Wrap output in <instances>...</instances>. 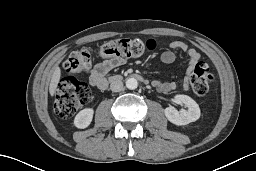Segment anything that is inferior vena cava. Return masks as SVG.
<instances>
[{
    "label": "inferior vena cava",
    "instance_id": "602c4592",
    "mask_svg": "<svg viewBox=\"0 0 256 171\" xmlns=\"http://www.w3.org/2000/svg\"><path fill=\"white\" fill-rule=\"evenodd\" d=\"M110 89L113 92H120L121 90H123V82L120 80H115L111 82Z\"/></svg>",
    "mask_w": 256,
    "mask_h": 171
}]
</instances>
